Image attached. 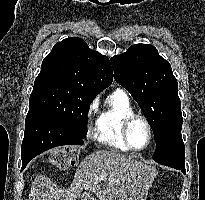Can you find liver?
Instances as JSON below:
<instances>
[{
  "mask_svg": "<svg viewBox=\"0 0 205 200\" xmlns=\"http://www.w3.org/2000/svg\"><path fill=\"white\" fill-rule=\"evenodd\" d=\"M154 167L116 150H98L84 158L67 189L44 175L32 182L28 200H79L83 190L99 200H145L156 177Z\"/></svg>",
  "mask_w": 205,
  "mask_h": 200,
  "instance_id": "1",
  "label": "liver"
}]
</instances>
